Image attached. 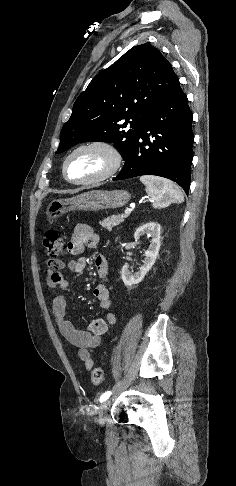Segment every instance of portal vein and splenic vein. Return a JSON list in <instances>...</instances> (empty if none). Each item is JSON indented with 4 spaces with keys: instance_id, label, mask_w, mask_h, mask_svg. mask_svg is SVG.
<instances>
[{
    "instance_id": "1",
    "label": "portal vein and splenic vein",
    "mask_w": 236,
    "mask_h": 486,
    "mask_svg": "<svg viewBox=\"0 0 236 486\" xmlns=\"http://www.w3.org/2000/svg\"><path fill=\"white\" fill-rule=\"evenodd\" d=\"M131 211H132V209H131V208H126L124 213H125L126 215H128V214H130V213H131Z\"/></svg>"
}]
</instances>
